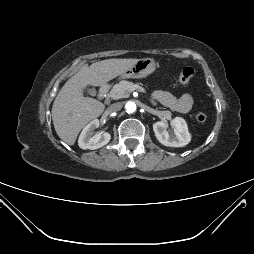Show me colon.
<instances>
[{
  "label": "colon",
  "mask_w": 254,
  "mask_h": 254,
  "mask_svg": "<svg viewBox=\"0 0 254 254\" xmlns=\"http://www.w3.org/2000/svg\"><path fill=\"white\" fill-rule=\"evenodd\" d=\"M194 76H195L194 68L190 66H186L181 70L178 76V82L180 84H187L194 78ZM195 117H196V120L201 123L205 122L207 119L206 114L203 112H198Z\"/></svg>",
  "instance_id": "5ec220e1"
}]
</instances>
